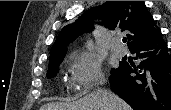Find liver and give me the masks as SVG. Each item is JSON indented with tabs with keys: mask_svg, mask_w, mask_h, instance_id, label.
<instances>
[{
	"mask_svg": "<svg viewBox=\"0 0 171 110\" xmlns=\"http://www.w3.org/2000/svg\"><path fill=\"white\" fill-rule=\"evenodd\" d=\"M40 110H131V107L113 92L98 88L78 101L48 103Z\"/></svg>",
	"mask_w": 171,
	"mask_h": 110,
	"instance_id": "obj_1",
	"label": "liver"
}]
</instances>
